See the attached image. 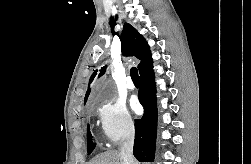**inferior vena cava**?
Segmentation results:
<instances>
[{
  "label": "inferior vena cava",
  "mask_w": 251,
  "mask_h": 164,
  "mask_svg": "<svg viewBox=\"0 0 251 164\" xmlns=\"http://www.w3.org/2000/svg\"><path fill=\"white\" fill-rule=\"evenodd\" d=\"M134 136V125L130 124L120 144V156L123 164H136L133 157Z\"/></svg>",
  "instance_id": "602c4592"
}]
</instances>
